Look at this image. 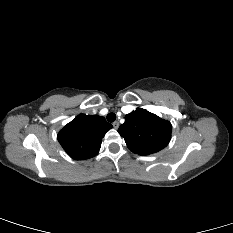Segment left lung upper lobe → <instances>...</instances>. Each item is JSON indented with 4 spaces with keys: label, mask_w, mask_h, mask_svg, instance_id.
Returning a JSON list of instances; mask_svg holds the SVG:
<instances>
[{
    "label": "left lung upper lobe",
    "mask_w": 233,
    "mask_h": 233,
    "mask_svg": "<svg viewBox=\"0 0 233 233\" xmlns=\"http://www.w3.org/2000/svg\"><path fill=\"white\" fill-rule=\"evenodd\" d=\"M172 126L167 120L137 108L125 116L119 134L128 148L138 155H149L165 148L171 139Z\"/></svg>",
    "instance_id": "1"
}]
</instances>
